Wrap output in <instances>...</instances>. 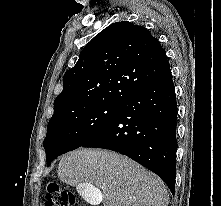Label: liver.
Wrapping results in <instances>:
<instances>
[{
    "mask_svg": "<svg viewBox=\"0 0 221 206\" xmlns=\"http://www.w3.org/2000/svg\"><path fill=\"white\" fill-rule=\"evenodd\" d=\"M58 177L76 186L90 201V191L101 189L104 206H167L164 182L135 161L112 151L77 149L62 156Z\"/></svg>",
    "mask_w": 221,
    "mask_h": 206,
    "instance_id": "6515ba94",
    "label": "liver"
}]
</instances>
